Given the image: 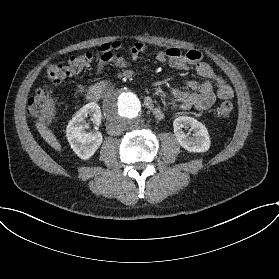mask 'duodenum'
<instances>
[{
    "label": "duodenum",
    "mask_w": 279,
    "mask_h": 279,
    "mask_svg": "<svg viewBox=\"0 0 279 279\" xmlns=\"http://www.w3.org/2000/svg\"><path fill=\"white\" fill-rule=\"evenodd\" d=\"M114 85L111 81H102L91 86L87 91V99L91 102L99 100L112 92Z\"/></svg>",
    "instance_id": "duodenum-1"
}]
</instances>
